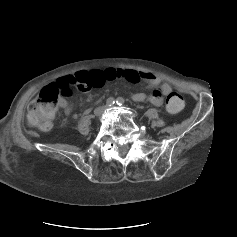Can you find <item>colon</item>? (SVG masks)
I'll return each mask as SVG.
<instances>
[{
    "instance_id": "5ec220e1",
    "label": "colon",
    "mask_w": 237,
    "mask_h": 237,
    "mask_svg": "<svg viewBox=\"0 0 237 237\" xmlns=\"http://www.w3.org/2000/svg\"><path fill=\"white\" fill-rule=\"evenodd\" d=\"M103 83L98 72H80L74 76L60 79L55 84L44 87L31 101L28 107V124L41 131H47L57 108L70 98L72 88L87 91L91 87ZM184 106L183 97L177 92H170L166 100V109L170 113H178Z\"/></svg>"
}]
</instances>
